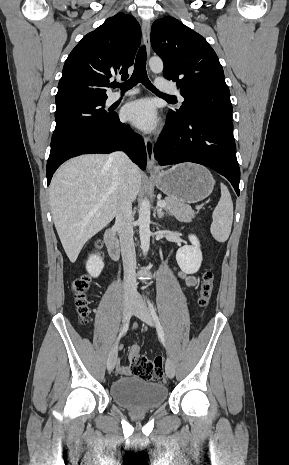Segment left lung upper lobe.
<instances>
[{
    "instance_id": "left-lung-upper-lobe-1",
    "label": "left lung upper lobe",
    "mask_w": 289,
    "mask_h": 465,
    "mask_svg": "<svg viewBox=\"0 0 289 465\" xmlns=\"http://www.w3.org/2000/svg\"><path fill=\"white\" fill-rule=\"evenodd\" d=\"M151 44L164 62V76L177 82L185 98L177 118L191 114L231 119L230 91L219 59L198 33L174 17L156 20L151 28Z\"/></svg>"
}]
</instances>
